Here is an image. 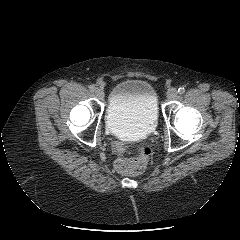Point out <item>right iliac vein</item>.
<instances>
[{"label": "right iliac vein", "instance_id": "1", "mask_svg": "<svg viewBox=\"0 0 240 240\" xmlns=\"http://www.w3.org/2000/svg\"><path fill=\"white\" fill-rule=\"evenodd\" d=\"M95 94H96V96L99 98V99H103L104 98V96H105V94H104V91H103V89H101V88H97L96 90H95Z\"/></svg>", "mask_w": 240, "mask_h": 240}]
</instances>
